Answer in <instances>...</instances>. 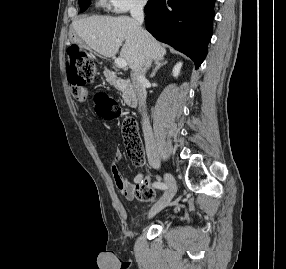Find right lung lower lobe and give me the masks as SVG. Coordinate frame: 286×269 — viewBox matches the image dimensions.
I'll return each instance as SVG.
<instances>
[{
	"instance_id": "1",
	"label": "right lung lower lobe",
	"mask_w": 286,
	"mask_h": 269,
	"mask_svg": "<svg viewBox=\"0 0 286 269\" xmlns=\"http://www.w3.org/2000/svg\"><path fill=\"white\" fill-rule=\"evenodd\" d=\"M215 0H157L145 7L146 29L159 41L189 56L197 69L212 36Z\"/></svg>"
}]
</instances>
